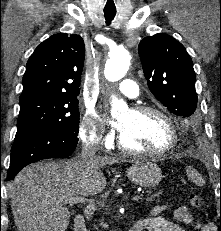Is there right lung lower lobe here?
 <instances>
[{
    "label": "right lung lower lobe",
    "instance_id": "1",
    "mask_svg": "<svg viewBox=\"0 0 221 231\" xmlns=\"http://www.w3.org/2000/svg\"><path fill=\"white\" fill-rule=\"evenodd\" d=\"M77 134L63 130L34 129L14 141L7 180L26 165L48 158L70 156L77 146Z\"/></svg>",
    "mask_w": 221,
    "mask_h": 231
}]
</instances>
